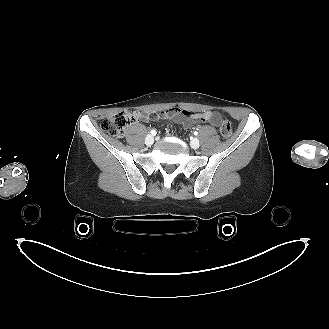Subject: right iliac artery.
I'll return each mask as SVG.
<instances>
[{"instance_id":"right-iliac-artery-1","label":"right iliac artery","mask_w":329,"mask_h":329,"mask_svg":"<svg viewBox=\"0 0 329 329\" xmlns=\"http://www.w3.org/2000/svg\"><path fill=\"white\" fill-rule=\"evenodd\" d=\"M150 133H151L152 135H154V136L157 134L156 130H154V129H153V130H151V132H150Z\"/></svg>"}]
</instances>
